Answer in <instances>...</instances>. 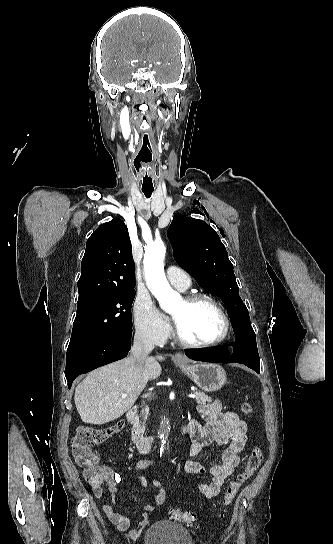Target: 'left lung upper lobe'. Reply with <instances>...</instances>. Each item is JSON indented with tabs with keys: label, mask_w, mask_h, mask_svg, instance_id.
Listing matches in <instances>:
<instances>
[{
	"label": "left lung upper lobe",
	"mask_w": 333,
	"mask_h": 544,
	"mask_svg": "<svg viewBox=\"0 0 333 544\" xmlns=\"http://www.w3.org/2000/svg\"><path fill=\"white\" fill-rule=\"evenodd\" d=\"M175 260L188 270L203 288L220 294L228 308L231 321L245 318L248 310L239 296V288L219 235L199 219L176 214L168 230Z\"/></svg>",
	"instance_id": "obj_1"
}]
</instances>
